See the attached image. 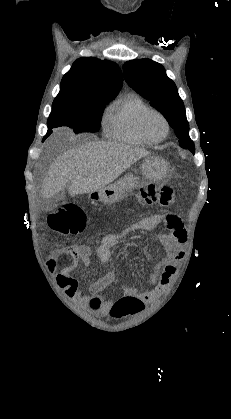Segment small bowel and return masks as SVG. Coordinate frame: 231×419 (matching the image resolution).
I'll use <instances>...</instances> for the list:
<instances>
[{"label": "small bowel", "instance_id": "obj_1", "mask_svg": "<svg viewBox=\"0 0 231 419\" xmlns=\"http://www.w3.org/2000/svg\"><path fill=\"white\" fill-rule=\"evenodd\" d=\"M161 222L165 223L163 226L164 231L171 233L158 236V240L163 245L166 254L156 265L154 274L149 280L152 289L144 291L139 287L123 288L124 295L136 296L140 298L143 303L152 302L167 288L176 274L177 263L184 256L183 246L186 242V231L178 213H167L163 215L159 213L151 214L133 223L122 234L106 235L97 248V256L106 269L102 277L90 285L87 294L81 292L77 279H75L71 273L79 262L86 267L91 265V248L85 244L68 247L66 253L71 256L72 262L69 266L61 269L55 274L57 286L64 291L67 298L75 300L87 310L102 315L108 314L113 306V302L106 300L102 296V292L106 287L116 281L115 271L112 268L107 267L112 249L121 241L125 234L129 232L152 230ZM48 266L52 270H57L58 268L57 262L53 259L49 261Z\"/></svg>", "mask_w": 231, "mask_h": 419}]
</instances>
